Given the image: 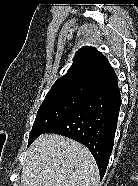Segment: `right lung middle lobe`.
Segmentation results:
<instances>
[{
	"mask_svg": "<svg viewBox=\"0 0 138 186\" xmlns=\"http://www.w3.org/2000/svg\"><path fill=\"white\" fill-rule=\"evenodd\" d=\"M91 93V89L81 86H70L49 91L37 112L28 145L38 136L46 133L51 126L70 112L84 104Z\"/></svg>",
	"mask_w": 138,
	"mask_h": 186,
	"instance_id": "right-lung-middle-lobe-1",
	"label": "right lung middle lobe"
}]
</instances>
